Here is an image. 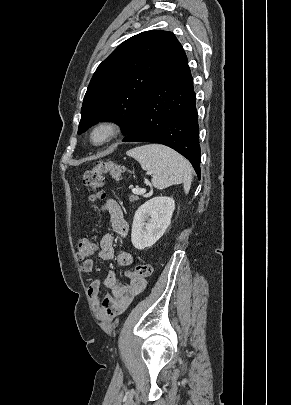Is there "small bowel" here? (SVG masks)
Wrapping results in <instances>:
<instances>
[{
	"instance_id": "1",
	"label": "small bowel",
	"mask_w": 291,
	"mask_h": 405,
	"mask_svg": "<svg viewBox=\"0 0 291 405\" xmlns=\"http://www.w3.org/2000/svg\"><path fill=\"white\" fill-rule=\"evenodd\" d=\"M105 210L109 214L110 223L114 232L126 237L129 232V225L123 217L119 203L114 199L105 201ZM114 236L111 233L105 234L99 243V257L109 260L114 257ZM117 263L120 266H129L133 263V256L127 251H121L117 255ZM95 263L88 259L81 264V270L90 273L94 270ZM104 285L112 289L111 295H106L100 300V282L93 280L87 289L88 296L92 303L96 317L103 322L111 321L115 316L122 313L132 302L134 297L141 293L146 287L145 280L130 282V284H118L117 275L109 271L104 279Z\"/></svg>"
}]
</instances>
